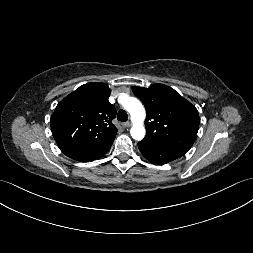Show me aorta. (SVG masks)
I'll list each match as a JSON object with an SVG mask.
<instances>
[{
	"label": "aorta",
	"mask_w": 253,
	"mask_h": 253,
	"mask_svg": "<svg viewBox=\"0 0 253 253\" xmlns=\"http://www.w3.org/2000/svg\"><path fill=\"white\" fill-rule=\"evenodd\" d=\"M123 106L131 115L133 126L130 133L132 138L138 141L142 140L146 134L143 124L146 112L143 105L138 99L126 96Z\"/></svg>",
	"instance_id": "aorta-1"
}]
</instances>
